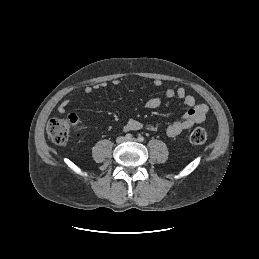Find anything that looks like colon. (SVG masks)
Masks as SVG:
<instances>
[{
    "instance_id": "1",
    "label": "colon",
    "mask_w": 259,
    "mask_h": 259,
    "mask_svg": "<svg viewBox=\"0 0 259 259\" xmlns=\"http://www.w3.org/2000/svg\"><path fill=\"white\" fill-rule=\"evenodd\" d=\"M79 117L70 113L64 118L51 119L47 125V135L56 144H65L70 136L72 128L78 123ZM207 139L206 131L203 128L194 129L189 136L192 144H203Z\"/></svg>"
}]
</instances>
